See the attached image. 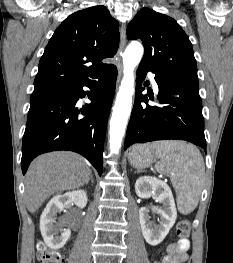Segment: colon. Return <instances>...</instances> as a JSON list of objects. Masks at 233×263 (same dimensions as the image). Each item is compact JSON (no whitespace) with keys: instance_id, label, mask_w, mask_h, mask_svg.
<instances>
[{"instance_id":"1","label":"colon","mask_w":233,"mask_h":263,"mask_svg":"<svg viewBox=\"0 0 233 263\" xmlns=\"http://www.w3.org/2000/svg\"><path fill=\"white\" fill-rule=\"evenodd\" d=\"M190 234V222L186 218L179 220L177 224V236L180 239L188 238ZM39 263H63L61 254L57 250L47 247L43 242H39L36 252Z\"/></svg>"}]
</instances>
